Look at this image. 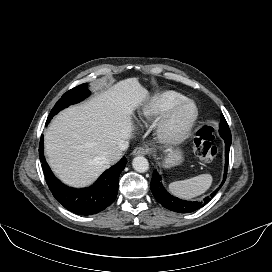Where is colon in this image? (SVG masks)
<instances>
[{"instance_id": "1", "label": "colon", "mask_w": 272, "mask_h": 272, "mask_svg": "<svg viewBox=\"0 0 272 272\" xmlns=\"http://www.w3.org/2000/svg\"><path fill=\"white\" fill-rule=\"evenodd\" d=\"M214 129L211 125H203L196 133L194 139V150L196 155L205 162H211L217 154L213 146Z\"/></svg>"}]
</instances>
